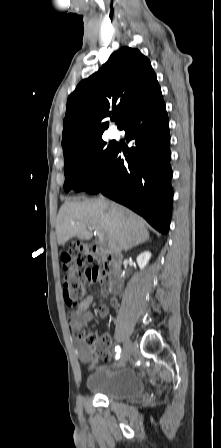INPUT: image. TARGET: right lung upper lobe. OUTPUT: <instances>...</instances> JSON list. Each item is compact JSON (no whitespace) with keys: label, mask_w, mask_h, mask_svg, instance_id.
I'll return each instance as SVG.
<instances>
[{"label":"right lung upper lobe","mask_w":221,"mask_h":448,"mask_svg":"<svg viewBox=\"0 0 221 448\" xmlns=\"http://www.w3.org/2000/svg\"><path fill=\"white\" fill-rule=\"evenodd\" d=\"M161 94L150 61L138 49L122 47L103 67L82 80L67 100L63 121L64 159L90 142L102 138L108 128L104 118L117 114V125Z\"/></svg>","instance_id":"right-lung-upper-lobe-1"}]
</instances>
